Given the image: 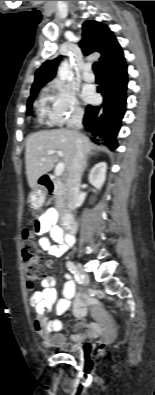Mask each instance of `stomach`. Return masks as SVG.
Returning a JSON list of instances; mask_svg holds the SVG:
<instances>
[{"instance_id":"stomach-1","label":"stomach","mask_w":155,"mask_h":395,"mask_svg":"<svg viewBox=\"0 0 155 395\" xmlns=\"http://www.w3.org/2000/svg\"><path fill=\"white\" fill-rule=\"evenodd\" d=\"M30 205L33 209H39L45 202V193L39 188L35 187L29 197Z\"/></svg>"}]
</instances>
